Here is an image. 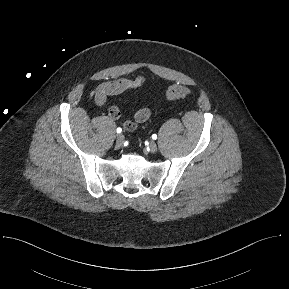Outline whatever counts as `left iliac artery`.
Masks as SVG:
<instances>
[{
	"label": "left iliac artery",
	"instance_id": "obj_1",
	"mask_svg": "<svg viewBox=\"0 0 289 289\" xmlns=\"http://www.w3.org/2000/svg\"><path fill=\"white\" fill-rule=\"evenodd\" d=\"M152 139H154V140L157 139V135H156V134H153V135H152Z\"/></svg>",
	"mask_w": 289,
	"mask_h": 289
}]
</instances>
